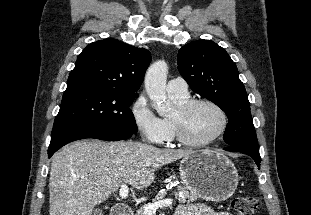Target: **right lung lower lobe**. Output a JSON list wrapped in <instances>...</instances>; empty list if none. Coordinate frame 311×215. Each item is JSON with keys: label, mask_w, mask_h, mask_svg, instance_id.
Masks as SVG:
<instances>
[{"label": "right lung lower lobe", "mask_w": 311, "mask_h": 215, "mask_svg": "<svg viewBox=\"0 0 311 215\" xmlns=\"http://www.w3.org/2000/svg\"><path fill=\"white\" fill-rule=\"evenodd\" d=\"M132 135L133 133L131 132H114V131H76L60 134L52 137L48 149V157L50 158L62 146L75 140L85 138H96L105 141H118L128 139Z\"/></svg>", "instance_id": "1"}]
</instances>
